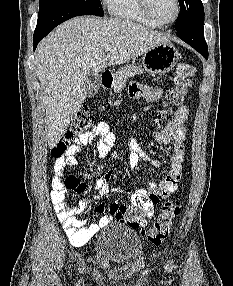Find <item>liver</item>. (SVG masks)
Instances as JSON below:
<instances>
[{"label": "liver", "instance_id": "liver-1", "mask_svg": "<svg viewBox=\"0 0 233 286\" xmlns=\"http://www.w3.org/2000/svg\"><path fill=\"white\" fill-rule=\"evenodd\" d=\"M169 41L131 20L76 17L59 25L37 47V77L43 87L47 141L55 147L79 111L90 71L123 64ZM111 46L109 53L104 50Z\"/></svg>", "mask_w": 233, "mask_h": 286}]
</instances>
